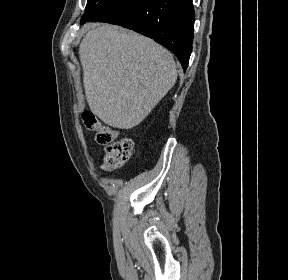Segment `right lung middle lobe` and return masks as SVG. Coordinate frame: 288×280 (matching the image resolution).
<instances>
[{"label": "right lung middle lobe", "instance_id": "obj_1", "mask_svg": "<svg viewBox=\"0 0 288 280\" xmlns=\"http://www.w3.org/2000/svg\"><path fill=\"white\" fill-rule=\"evenodd\" d=\"M114 0H88L85 8V13L81 21L89 19L94 13H96L100 8L107 5Z\"/></svg>", "mask_w": 288, "mask_h": 280}]
</instances>
